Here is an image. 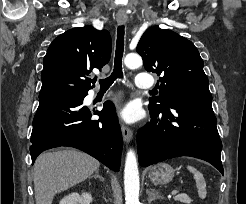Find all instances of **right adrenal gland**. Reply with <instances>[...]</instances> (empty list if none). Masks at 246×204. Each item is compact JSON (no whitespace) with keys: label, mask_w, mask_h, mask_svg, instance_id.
I'll return each instance as SVG.
<instances>
[{"label":"right adrenal gland","mask_w":246,"mask_h":204,"mask_svg":"<svg viewBox=\"0 0 246 204\" xmlns=\"http://www.w3.org/2000/svg\"><path fill=\"white\" fill-rule=\"evenodd\" d=\"M92 178H99L102 182H104V178L99 174L98 169L95 171V175H93Z\"/></svg>","instance_id":"1"}]
</instances>
